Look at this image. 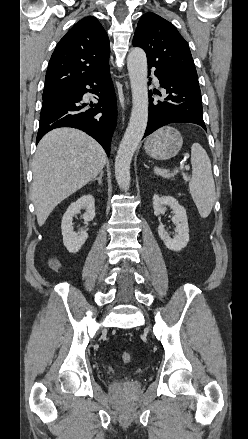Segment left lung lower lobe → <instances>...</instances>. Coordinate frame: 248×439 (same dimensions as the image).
I'll list each match as a JSON object with an SVG mask.
<instances>
[{
	"label": "left lung lower lobe",
	"mask_w": 248,
	"mask_h": 439,
	"mask_svg": "<svg viewBox=\"0 0 248 439\" xmlns=\"http://www.w3.org/2000/svg\"><path fill=\"white\" fill-rule=\"evenodd\" d=\"M152 67L148 65L149 73ZM154 73L163 89V99L154 100L151 98L152 94L161 96V92L149 91V118L144 137L170 123H194L206 130L202 116L200 87L158 70Z\"/></svg>",
	"instance_id": "left-lung-lower-lobe-1"
}]
</instances>
